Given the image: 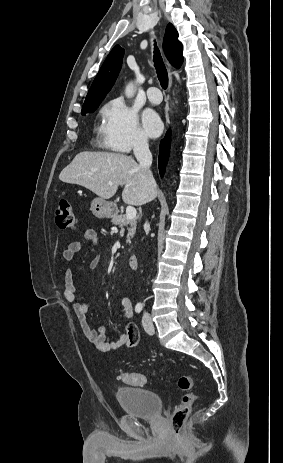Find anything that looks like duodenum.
<instances>
[{"label":"duodenum","mask_w":283,"mask_h":463,"mask_svg":"<svg viewBox=\"0 0 283 463\" xmlns=\"http://www.w3.org/2000/svg\"><path fill=\"white\" fill-rule=\"evenodd\" d=\"M129 266L132 270H136L138 268V257L137 256H130Z\"/></svg>","instance_id":"obj_1"}]
</instances>
